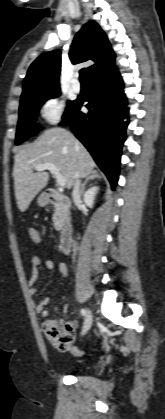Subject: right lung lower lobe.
<instances>
[{"mask_svg": "<svg viewBox=\"0 0 165 419\" xmlns=\"http://www.w3.org/2000/svg\"><path fill=\"white\" fill-rule=\"evenodd\" d=\"M88 113L80 111L84 102ZM128 108L123 83L116 67L89 80V92L76 100L60 125L70 126L109 179L112 188L118 181L120 156Z\"/></svg>", "mask_w": 165, "mask_h": 419, "instance_id": "obj_1", "label": "right lung lower lobe"}]
</instances>
